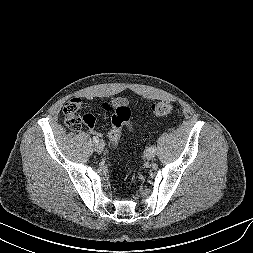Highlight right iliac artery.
Instances as JSON below:
<instances>
[{
  "label": "right iliac artery",
  "mask_w": 253,
  "mask_h": 253,
  "mask_svg": "<svg viewBox=\"0 0 253 253\" xmlns=\"http://www.w3.org/2000/svg\"><path fill=\"white\" fill-rule=\"evenodd\" d=\"M99 141L98 137H93V142L97 143Z\"/></svg>",
  "instance_id": "obj_1"
}]
</instances>
